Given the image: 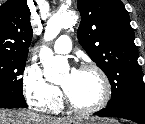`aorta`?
Wrapping results in <instances>:
<instances>
[{
	"instance_id": "obj_1",
	"label": "aorta",
	"mask_w": 145,
	"mask_h": 124,
	"mask_svg": "<svg viewBox=\"0 0 145 124\" xmlns=\"http://www.w3.org/2000/svg\"><path fill=\"white\" fill-rule=\"evenodd\" d=\"M75 23V16L71 13L52 14L45 28L44 40H53L63 27L71 26ZM40 61L43 65L44 77L49 82H60L62 74L69 70L67 58L54 56L53 51L48 47H42L39 53Z\"/></svg>"
}]
</instances>
